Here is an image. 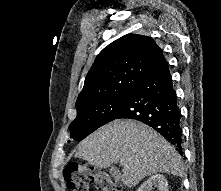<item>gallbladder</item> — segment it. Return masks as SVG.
I'll use <instances>...</instances> for the list:
<instances>
[{
    "label": "gallbladder",
    "mask_w": 221,
    "mask_h": 191,
    "mask_svg": "<svg viewBox=\"0 0 221 191\" xmlns=\"http://www.w3.org/2000/svg\"><path fill=\"white\" fill-rule=\"evenodd\" d=\"M110 173H111V175L112 176H118V170L116 169V168H114V167H111L110 168Z\"/></svg>",
    "instance_id": "gallbladder-1"
}]
</instances>
